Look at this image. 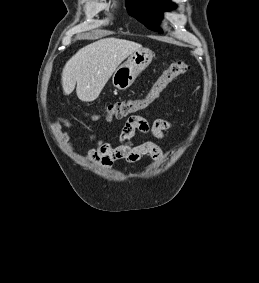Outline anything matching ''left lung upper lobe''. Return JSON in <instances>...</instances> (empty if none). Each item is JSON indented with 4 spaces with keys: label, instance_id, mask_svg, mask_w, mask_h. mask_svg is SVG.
<instances>
[{
    "label": "left lung upper lobe",
    "instance_id": "5c2ea615",
    "mask_svg": "<svg viewBox=\"0 0 259 283\" xmlns=\"http://www.w3.org/2000/svg\"><path fill=\"white\" fill-rule=\"evenodd\" d=\"M126 7L130 15L149 29L162 33L158 25L162 19V12L176 6L171 4L170 0H126Z\"/></svg>",
    "mask_w": 259,
    "mask_h": 283
}]
</instances>
